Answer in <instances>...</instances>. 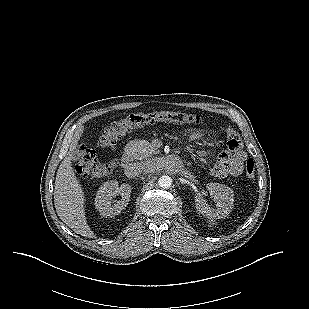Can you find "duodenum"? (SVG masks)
Returning a JSON list of instances; mask_svg holds the SVG:
<instances>
[{
  "label": "duodenum",
  "mask_w": 309,
  "mask_h": 309,
  "mask_svg": "<svg viewBox=\"0 0 309 309\" xmlns=\"http://www.w3.org/2000/svg\"><path fill=\"white\" fill-rule=\"evenodd\" d=\"M133 152L131 150H127L121 158V163L123 168L128 169L131 167L133 162Z\"/></svg>",
  "instance_id": "obj_1"
}]
</instances>
